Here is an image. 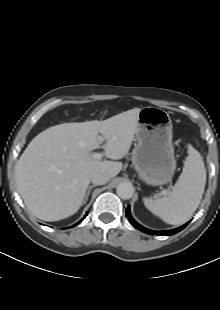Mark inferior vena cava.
Here are the masks:
<instances>
[{
	"label": "inferior vena cava",
	"mask_w": 220,
	"mask_h": 310,
	"mask_svg": "<svg viewBox=\"0 0 220 310\" xmlns=\"http://www.w3.org/2000/svg\"><path fill=\"white\" fill-rule=\"evenodd\" d=\"M110 180L109 176L107 174L102 173H96L91 176L90 181L94 185H104Z\"/></svg>",
	"instance_id": "obj_1"
}]
</instances>
